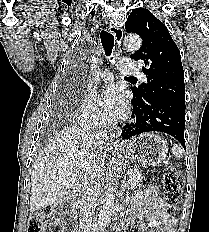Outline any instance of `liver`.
I'll list each match as a JSON object with an SVG mask.
<instances>
[{
  "label": "liver",
  "mask_w": 209,
  "mask_h": 232,
  "mask_svg": "<svg viewBox=\"0 0 209 232\" xmlns=\"http://www.w3.org/2000/svg\"><path fill=\"white\" fill-rule=\"evenodd\" d=\"M110 150L104 141L78 127H67L57 134L32 165L30 211L80 195L92 169L103 171Z\"/></svg>",
  "instance_id": "1"
}]
</instances>
